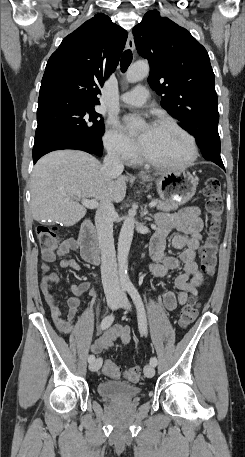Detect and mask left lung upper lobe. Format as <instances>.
Listing matches in <instances>:
<instances>
[{
  "label": "left lung upper lobe",
  "instance_id": "5c2ea615",
  "mask_svg": "<svg viewBox=\"0 0 245 457\" xmlns=\"http://www.w3.org/2000/svg\"><path fill=\"white\" fill-rule=\"evenodd\" d=\"M138 53L150 65L148 82L161 106L182 122L199 128L219 121L215 76L206 49L187 31L157 10L148 11L133 28Z\"/></svg>",
  "mask_w": 245,
  "mask_h": 457
}]
</instances>
